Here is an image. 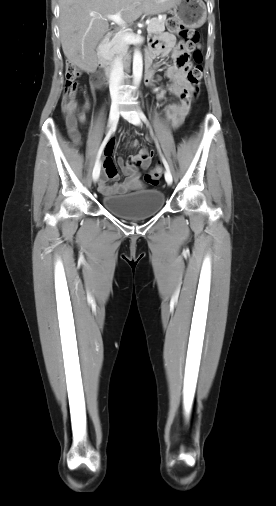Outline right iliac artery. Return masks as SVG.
<instances>
[{
  "instance_id": "obj_1",
  "label": "right iliac artery",
  "mask_w": 276,
  "mask_h": 506,
  "mask_svg": "<svg viewBox=\"0 0 276 506\" xmlns=\"http://www.w3.org/2000/svg\"><path fill=\"white\" fill-rule=\"evenodd\" d=\"M116 126H117V122H116L115 124H113V126L111 127V129H110V130H109V132L107 133V135H106V137L104 138V140H103V142H102V144H101V146H100V149H99V151H98V154H97V161H96V164H95L94 170H95V168H96V167H98V168H99V171H98V173H95V171L93 170V176H96L97 178L99 177V174H100V166H98L97 164H98V162H99V159H100V157H101V154H102V152H103V150H104V148H105L106 144L108 143V141H109V139H110L111 135L113 134V132H115V130H116Z\"/></svg>"
}]
</instances>
